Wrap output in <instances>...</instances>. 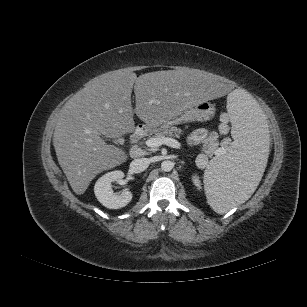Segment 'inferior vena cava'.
I'll return each mask as SVG.
<instances>
[{"mask_svg":"<svg viewBox=\"0 0 307 307\" xmlns=\"http://www.w3.org/2000/svg\"><path fill=\"white\" fill-rule=\"evenodd\" d=\"M150 161L148 158H137L130 163V171L132 173H140L148 168Z\"/></svg>","mask_w":307,"mask_h":307,"instance_id":"602c4592","label":"inferior vena cava"}]
</instances>
